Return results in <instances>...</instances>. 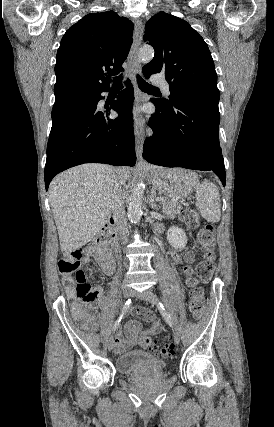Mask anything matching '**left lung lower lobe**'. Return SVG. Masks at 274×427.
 <instances>
[{"instance_id":"1","label":"left lung lower lobe","mask_w":274,"mask_h":427,"mask_svg":"<svg viewBox=\"0 0 274 427\" xmlns=\"http://www.w3.org/2000/svg\"><path fill=\"white\" fill-rule=\"evenodd\" d=\"M150 101L156 112L148 121L153 133L144 143L143 158L165 167L213 171L225 186L218 104L199 99Z\"/></svg>"}]
</instances>
